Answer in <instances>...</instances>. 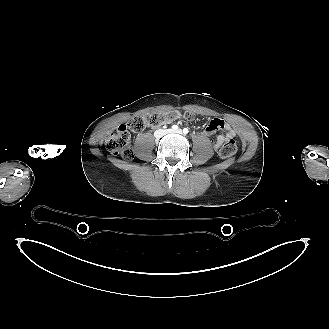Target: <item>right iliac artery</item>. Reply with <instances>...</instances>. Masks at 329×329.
<instances>
[{"label": "right iliac artery", "instance_id": "obj_1", "mask_svg": "<svg viewBox=\"0 0 329 329\" xmlns=\"http://www.w3.org/2000/svg\"><path fill=\"white\" fill-rule=\"evenodd\" d=\"M172 129H173V130H177V129H178V126H177V125H173V126H172Z\"/></svg>", "mask_w": 329, "mask_h": 329}]
</instances>
